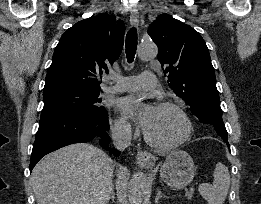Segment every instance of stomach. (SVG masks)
I'll use <instances>...</instances> for the list:
<instances>
[{
	"label": "stomach",
	"mask_w": 261,
	"mask_h": 204,
	"mask_svg": "<svg viewBox=\"0 0 261 204\" xmlns=\"http://www.w3.org/2000/svg\"><path fill=\"white\" fill-rule=\"evenodd\" d=\"M195 166L191 156L185 151H173L165 159L160 177L170 187L182 189L194 178Z\"/></svg>",
	"instance_id": "1"
}]
</instances>
